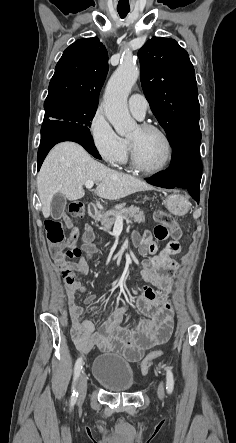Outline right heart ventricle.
Listing matches in <instances>:
<instances>
[{"instance_id": "right-heart-ventricle-1", "label": "right heart ventricle", "mask_w": 236, "mask_h": 443, "mask_svg": "<svg viewBox=\"0 0 236 443\" xmlns=\"http://www.w3.org/2000/svg\"><path fill=\"white\" fill-rule=\"evenodd\" d=\"M127 142V141H126ZM127 144H128V142H127ZM127 162V158H126V160H125V162L124 163H126Z\"/></svg>"}]
</instances>
